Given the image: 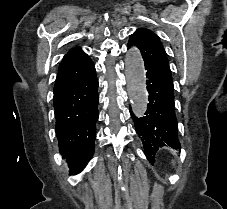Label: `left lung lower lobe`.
Returning <instances> with one entry per match:
<instances>
[{
  "label": "left lung lower lobe",
  "instance_id": "1",
  "mask_svg": "<svg viewBox=\"0 0 227 209\" xmlns=\"http://www.w3.org/2000/svg\"><path fill=\"white\" fill-rule=\"evenodd\" d=\"M149 104L144 117L130 114L135 122L136 131L142 140L145 155L154 163L156 152L163 147L180 149L178 124L175 115L174 87L172 80L154 67L146 66Z\"/></svg>",
  "mask_w": 227,
  "mask_h": 209
}]
</instances>
